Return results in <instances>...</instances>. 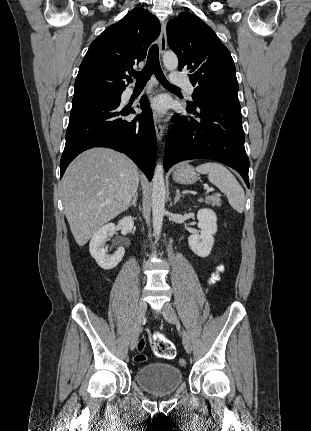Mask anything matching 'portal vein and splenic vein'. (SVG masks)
Masks as SVG:
<instances>
[{"instance_id":"18ae733b","label":"portal vein and splenic vein","mask_w":311,"mask_h":431,"mask_svg":"<svg viewBox=\"0 0 311 431\" xmlns=\"http://www.w3.org/2000/svg\"><path fill=\"white\" fill-rule=\"evenodd\" d=\"M206 192H205V196L206 194H209V192H214V188H205Z\"/></svg>"}]
</instances>
